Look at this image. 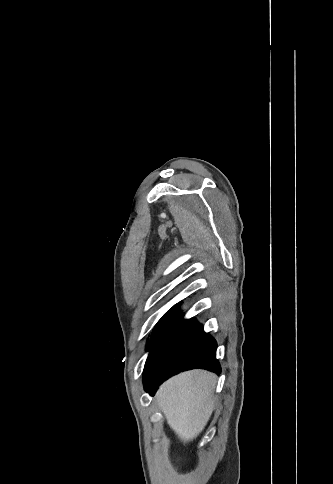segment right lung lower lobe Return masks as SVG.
I'll return each mask as SVG.
<instances>
[{
	"mask_svg": "<svg viewBox=\"0 0 333 484\" xmlns=\"http://www.w3.org/2000/svg\"><path fill=\"white\" fill-rule=\"evenodd\" d=\"M143 383L150 394L166 379L181 371L204 368L220 373L217 343L194 318L184 320L179 304L173 306L155 326Z\"/></svg>",
	"mask_w": 333,
	"mask_h": 484,
	"instance_id": "right-lung-lower-lobe-1",
	"label": "right lung lower lobe"
}]
</instances>
